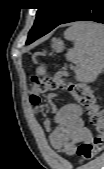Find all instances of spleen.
Segmentation results:
<instances>
[{"label":"spleen","instance_id":"obj_1","mask_svg":"<svg viewBox=\"0 0 104 169\" xmlns=\"http://www.w3.org/2000/svg\"><path fill=\"white\" fill-rule=\"evenodd\" d=\"M64 37L73 41L74 47L66 53V59L76 65L75 79L91 83L104 69V27L92 22L74 23ZM44 72L40 67L37 73Z\"/></svg>","mask_w":104,"mask_h":169}]
</instances>
